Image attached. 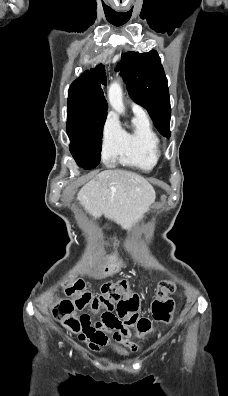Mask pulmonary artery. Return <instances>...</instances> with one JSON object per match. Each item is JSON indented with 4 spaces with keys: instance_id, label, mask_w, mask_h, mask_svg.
Segmentation results:
<instances>
[{
    "instance_id": "pulmonary-artery-1",
    "label": "pulmonary artery",
    "mask_w": 228,
    "mask_h": 396,
    "mask_svg": "<svg viewBox=\"0 0 228 396\" xmlns=\"http://www.w3.org/2000/svg\"><path fill=\"white\" fill-rule=\"evenodd\" d=\"M132 110L134 113H143L144 112L143 108L137 104L132 105Z\"/></svg>"
}]
</instances>
